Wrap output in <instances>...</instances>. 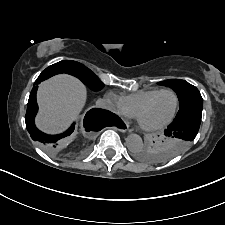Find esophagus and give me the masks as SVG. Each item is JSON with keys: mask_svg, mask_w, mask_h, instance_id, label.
<instances>
[{"mask_svg": "<svg viewBox=\"0 0 225 225\" xmlns=\"http://www.w3.org/2000/svg\"><path fill=\"white\" fill-rule=\"evenodd\" d=\"M117 130L121 132H126L129 129V125L126 121L120 122V124L116 127Z\"/></svg>", "mask_w": 225, "mask_h": 225, "instance_id": "obj_1", "label": "esophagus"}]
</instances>
